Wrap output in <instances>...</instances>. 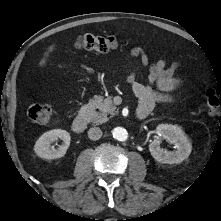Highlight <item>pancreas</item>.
<instances>
[{
	"mask_svg": "<svg viewBox=\"0 0 221 221\" xmlns=\"http://www.w3.org/2000/svg\"><path fill=\"white\" fill-rule=\"evenodd\" d=\"M89 105L92 108L99 109L100 111V113H94L90 117V121L93 123H103L107 120L108 114L114 116L118 112L116 107L113 105L111 97L104 99L102 96H95L89 101Z\"/></svg>",
	"mask_w": 221,
	"mask_h": 221,
	"instance_id": "obj_1",
	"label": "pancreas"
}]
</instances>
